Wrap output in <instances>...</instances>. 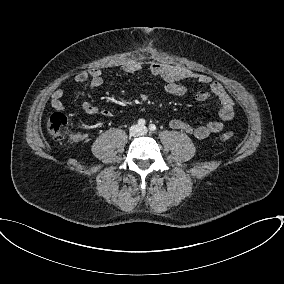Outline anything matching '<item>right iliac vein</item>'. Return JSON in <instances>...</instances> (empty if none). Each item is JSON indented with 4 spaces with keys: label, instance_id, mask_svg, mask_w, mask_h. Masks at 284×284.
Masks as SVG:
<instances>
[{
    "label": "right iliac vein",
    "instance_id": "right-iliac-vein-1",
    "mask_svg": "<svg viewBox=\"0 0 284 284\" xmlns=\"http://www.w3.org/2000/svg\"><path fill=\"white\" fill-rule=\"evenodd\" d=\"M139 131V127L137 125L132 127V132L137 133Z\"/></svg>",
    "mask_w": 284,
    "mask_h": 284
}]
</instances>
